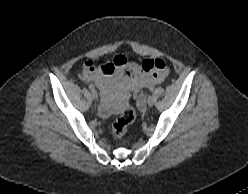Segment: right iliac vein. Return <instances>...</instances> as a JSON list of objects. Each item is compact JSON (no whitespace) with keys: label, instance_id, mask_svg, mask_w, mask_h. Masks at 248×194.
<instances>
[{"label":"right iliac vein","instance_id":"1","mask_svg":"<svg viewBox=\"0 0 248 194\" xmlns=\"http://www.w3.org/2000/svg\"><path fill=\"white\" fill-rule=\"evenodd\" d=\"M91 97H92L94 100L98 99V93H97L95 90H92V91H91Z\"/></svg>","mask_w":248,"mask_h":194}]
</instances>
